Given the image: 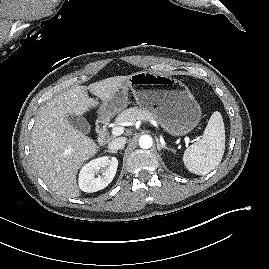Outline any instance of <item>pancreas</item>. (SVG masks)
Segmentation results:
<instances>
[{"label": "pancreas", "instance_id": "obj_1", "mask_svg": "<svg viewBox=\"0 0 269 269\" xmlns=\"http://www.w3.org/2000/svg\"><path fill=\"white\" fill-rule=\"evenodd\" d=\"M152 118H153L152 114L149 111L133 107L121 112L116 119V123L118 124L128 123V122H134L136 120L147 121Z\"/></svg>", "mask_w": 269, "mask_h": 269}]
</instances>
